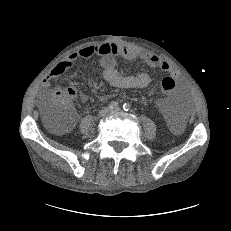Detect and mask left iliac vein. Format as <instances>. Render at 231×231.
Returning a JSON list of instances; mask_svg holds the SVG:
<instances>
[{
    "instance_id": "obj_1",
    "label": "left iliac vein",
    "mask_w": 231,
    "mask_h": 231,
    "mask_svg": "<svg viewBox=\"0 0 231 231\" xmlns=\"http://www.w3.org/2000/svg\"><path fill=\"white\" fill-rule=\"evenodd\" d=\"M121 111V109L119 107H116L112 110V112L114 113H119Z\"/></svg>"
}]
</instances>
